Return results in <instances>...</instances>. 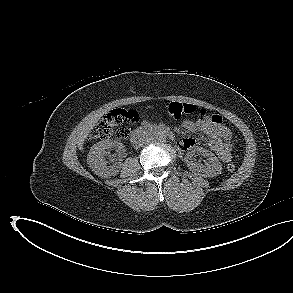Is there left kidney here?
<instances>
[{
    "label": "left kidney",
    "mask_w": 293,
    "mask_h": 293,
    "mask_svg": "<svg viewBox=\"0 0 293 293\" xmlns=\"http://www.w3.org/2000/svg\"><path fill=\"white\" fill-rule=\"evenodd\" d=\"M200 153L207 158L205 165L195 161V154ZM188 168L203 177H214L221 173L222 165L218 158L209 150L202 147H193L185 155Z\"/></svg>",
    "instance_id": "obj_1"
}]
</instances>
